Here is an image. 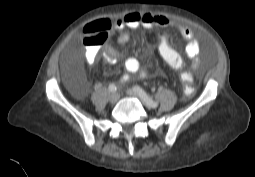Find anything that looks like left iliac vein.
Here are the masks:
<instances>
[{"label":"left iliac vein","instance_id":"4c4485c4","mask_svg":"<svg viewBox=\"0 0 255 177\" xmlns=\"http://www.w3.org/2000/svg\"><path fill=\"white\" fill-rule=\"evenodd\" d=\"M127 94L131 97H136V98H139L141 100V102L148 108H152L141 96L140 94L134 90V89H128L127 90Z\"/></svg>","mask_w":255,"mask_h":177}]
</instances>
